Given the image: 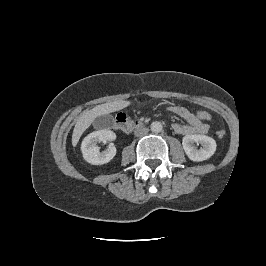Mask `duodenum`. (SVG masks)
<instances>
[{
	"label": "duodenum",
	"mask_w": 266,
	"mask_h": 266,
	"mask_svg": "<svg viewBox=\"0 0 266 266\" xmlns=\"http://www.w3.org/2000/svg\"><path fill=\"white\" fill-rule=\"evenodd\" d=\"M115 126L122 132H130L134 127L138 126L129 117L124 114H118L115 118Z\"/></svg>",
	"instance_id": "410a0bca"
}]
</instances>
